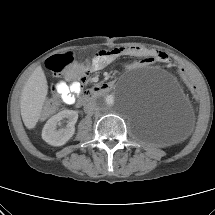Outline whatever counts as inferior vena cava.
Instances as JSON below:
<instances>
[{"label": "inferior vena cava", "instance_id": "inferior-vena-cava-1", "mask_svg": "<svg viewBox=\"0 0 215 215\" xmlns=\"http://www.w3.org/2000/svg\"><path fill=\"white\" fill-rule=\"evenodd\" d=\"M96 102H90L84 106V111L88 114H91L97 108Z\"/></svg>", "mask_w": 215, "mask_h": 215}]
</instances>
